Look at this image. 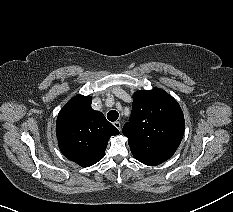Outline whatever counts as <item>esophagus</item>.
<instances>
[{
	"instance_id": "34e87169",
	"label": "esophagus",
	"mask_w": 233,
	"mask_h": 212,
	"mask_svg": "<svg viewBox=\"0 0 233 212\" xmlns=\"http://www.w3.org/2000/svg\"><path fill=\"white\" fill-rule=\"evenodd\" d=\"M113 125H114L119 131H121V123H120L119 121H115V122L113 123Z\"/></svg>"
}]
</instances>
